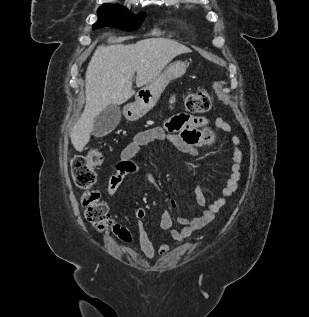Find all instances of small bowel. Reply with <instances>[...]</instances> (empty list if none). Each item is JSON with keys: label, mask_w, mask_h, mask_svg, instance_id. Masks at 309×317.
I'll return each mask as SVG.
<instances>
[{"label": "small bowel", "mask_w": 309, "mask_h": 317, "mask_svg": "<svg viewBox=\"0 0 309 317\" xmlns=\"http://www.w3.org/2000/svg\"><path fill=\"white\" fill-rule=\"evenodd\" d=\"M171 102L173 103L174 99H172ZM207 123L208 120L204 117L179 113L168 117L160 127L150 128L138 133L120 153L117 170L108 180V195L113 196L117 192L123 179L136 170L134 157L144 147L167 142L177 151L191 157H196L198 155V149L204 145V137L201 128ZM215 125L224 132L229 133L232 131L230 124L221 118L216 119ZM240 143L241 140L238 136H233L231 138V144L233 146L232 163L229 166V177L219 198L207 203L202 188L198 185L196 189V202L198 206L206 207V209L194 219L178 217L176 221L181 226L179 229L172 228L173 217L170 210H167L163 214L161 227L165 230H170L168 242L163 243L156 248L148 238L141 222L146 215L145 210L139 208L135 211L139 245L148 259H154L157 254H168L171 250V242L175 245H180L193 232L200 230L211 223L216 214L225 206L227 199L237 191L241 178V165L243 160V153L239 148ZM146 178L151 182L153 181V177L149 173H146ZM170 207L174 208L175 203L171 202Z\"/></svg>", "instance_id": "c3829d8e"}]
</instances>
